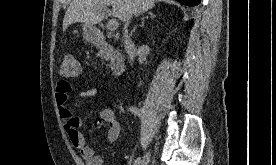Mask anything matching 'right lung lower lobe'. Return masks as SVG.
<instances>
[{"label":"right lung lower lobe","mask_w":276,"mask_h":165,"mask_svg":"<svg viewBox=\"0 0 276 165\" xmlns=\"http://www.w3.org/2000/svg\"><path fill=\"white\" fill-rule=\"evenodd\" d=\"M176 1L187 6H195V5H198L201 0H176Z\"/></svg>","instance_id":"98d812e1"}]
</instances>
